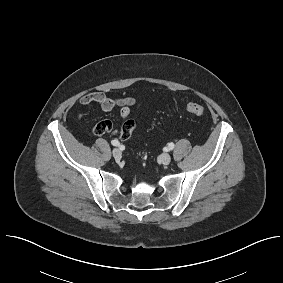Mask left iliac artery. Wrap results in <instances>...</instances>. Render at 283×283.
<instances>
[{
    "label": "left iliac artery",
    "instance_id": "obj_1",
    "mask_svg": "<svg viewBox=\"0 0 283 283\" xmlns=\"http://www.w3.org/2000/svg\"><path fill=\"white\" fill-rule=\"evenodd\" d=\"M174 146H175L174 143L171 142V143L168 144V149L172 150L174 148Z\"/></svg>",
    "mask_w": 283,
    "mask_h": 283
}]
</instances>
